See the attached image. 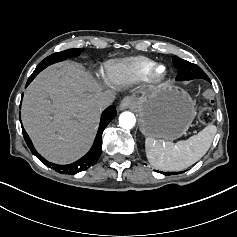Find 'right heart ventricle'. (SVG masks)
I'll return each mask as SVG.
<instances>
[{
	"label": "right heart ventricle",
	"instance_id": "right-heart-ventricle-1",
	"mask_svg": "<svg viewBox=\"0 0 237 237\" xmlns=\"http://www.w3.org/2000/svg\"><path fill=\"white\" fill-rule=\"evenodd\" d=\"M153 61L144 57L112 62L106 66L107 74L122 83H133L152 67Z\"/></svg>",
	"mask_w": 237,
	"mask_h": 237
}]
</instances>
